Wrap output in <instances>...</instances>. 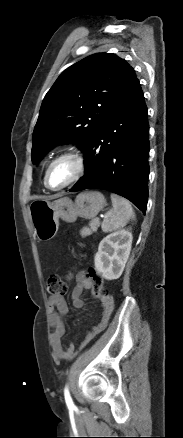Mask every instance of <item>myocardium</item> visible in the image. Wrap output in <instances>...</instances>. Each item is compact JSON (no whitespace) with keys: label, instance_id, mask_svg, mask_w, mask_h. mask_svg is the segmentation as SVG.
Listing matches in <instances>:
<instances>
[{"label":"myocardium","instance_id":"myocardium-1","mask_svg":"<svg viewBox=\"0 0 183 438\" xmlns=\"http://www.w3.org/2000/svg\"><path fill=\"white\" fill-rule=\"evenodd\" d=\"M63 159L73 160L74 165H75V173L72 176V178L68 182H66L65 184H63L59 187H51L48 183V175H49L50 169L56 162L63 160ZM85 170H86V161L80 153L74 152V151L64 152V153L56 156L55 158H53L49 162V164L47 165L45 172H44V177H43L44 185L47 189L52 190V191H58V190L64 189V188L74 184L78 180H80L81 177L84 175Z\"/></svg>","mask_w":183,"mask_h":438}]
</instances>
